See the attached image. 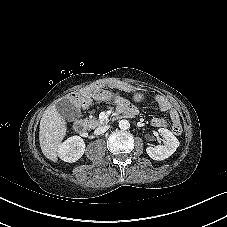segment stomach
<instances>
[{
	"mask_svg": "<svg viewBox=\"0 0 227 227\" xmlns=\"http://www.w3.org/2000/svg\"><path fill=\"white\" fill-rule=\"evenodd\" d=\"M134 100L137 101V102L143 100V95L140 94V93H136V94L134 95Z\"/></svg>",
	"mask_w": 227,
	"mask_h": 227,
	"instance_id": "1",
	"label": "stomach"
}]
</instances>
